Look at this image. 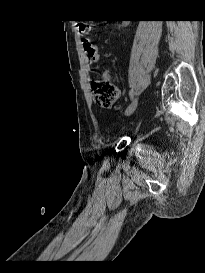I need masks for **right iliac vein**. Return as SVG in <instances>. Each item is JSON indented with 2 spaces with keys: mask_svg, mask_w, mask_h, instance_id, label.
I'll return each mask as SVG.
<instances>
[{
  "mask_svg": "<svg viewBox=\"0 0 205 273\" xmlns=\"http://www.w3.org/2000/svg\"><path fill=\"white\" fill-rule=\"evenodd\" d=\"M137 105H138V99L136 98V99H134V100L132 101V103H131V104L129 105V107L126 109L125 115H126V116L131 115V114L135 111Z\"/></svg>",
  "mask_w": 205,
  "mask_h": 273,
  "instance_id": "right-iliac-vein-1",
  "label": "right iliac vein"
}]
</instances>
